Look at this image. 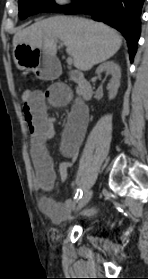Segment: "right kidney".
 I'll list each match as a JSON object with an SVG mask.
<instances>
[{
    "instance_id": "obj_1",
    "label": "right kidney",
    "mask_w": 148,
    "mask_h": 279,
    "mask_svg": "<svg viewBox=\"0 0 148 279\" xmlns=\"http://www.w3.org/2000/svg\"><path fill=\"white\" fill-rule=\"evenodd\" d=\"M108 72L112 75V79L110 83L108 84L107 89L109 90V98L113 99L117 95L118 88L120 86V78H121V70L117 63L114 61H107L103 64H101L97 69L96 73L100 74L102 72Z\"/></svg>"
}]
</instances>
